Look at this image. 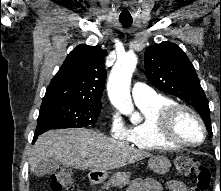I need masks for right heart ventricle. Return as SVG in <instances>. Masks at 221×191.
<instances>
[{"mask_svg":"<svg viewBox=\"0 0 221 191\" xmlns=\"http://www.w3.org/2000/svg\"><path fill=\"white\" fill-rule=\"evenodd\" d=\"M168 97L157 95L153 100L137 104L143 119L127 128L126 142L132 146L144 149L155 150L160 148H177L179 145H168L158 133V120L162 108L173 104Z\"/></svg>","mask_w":221,"mask_h":191,"instance_id":"1","label":"right heart ventricle"}]
</instances>
